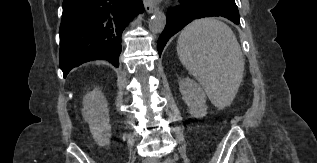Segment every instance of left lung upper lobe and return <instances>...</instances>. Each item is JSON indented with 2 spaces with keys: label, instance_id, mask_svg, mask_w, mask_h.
<instances>
[{
  "label": "left lung upper lobe",
  "instance_id": "1",
  "mask_svg": "<svg viewBox=\"0 0 317 163\" xmlns=\"http://www.w3.org/2000/svg\"><path fill=\"white\" fill-rule=\"evenodd\" d=\"M227 1H231V2L235 3V1H234V0H227Z\"/></svg>",
  "mask_w": 317,
  "mask_h": 163
}]
</instances>
